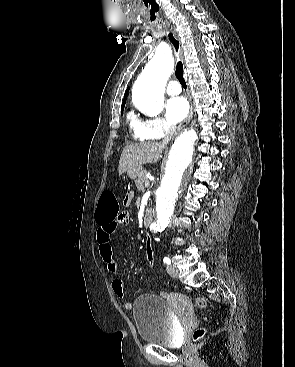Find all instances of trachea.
<instances>
[{
    "mask_svg": "<svg viewBox=\"0 0 295 367\" xmlns=\"http://www.w3.org/2000/svg\"><path fill=\"white\" fill-rule=\"evenodd\" d=\"M168 37H169V40L172 42L173 46L175 47L176 51L178 52V49H179L178 40L174 37L172 33H169ZM175 75L177 79L179 80L180 84L182 85V87L186 88L187 85L183 77V63L181 61H178L176 64Z\"/></svg>",
    "mask_w": 295,
    "mask_h": 367,
    "instance_id": "3493384b",
    "label": "trachea"
}]
</instances>
